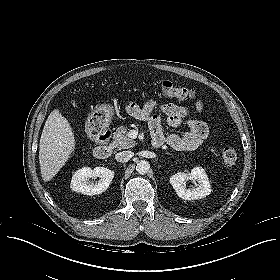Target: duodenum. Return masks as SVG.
Instances as JSON below:
<instances>
[{"instance_id": "1", "label": "duodenum", "mask_w": 280, "mask_h": 280, "mask_svg": "<svg viewBox=\"0 0 280 280\" xmlns=\"http://www.w3.org/2000/svg\"><path fill=\"white\" fill-rule=\"evenodd\" d=\"M96 147L94 149V156L96 159L104 160L109 158L113 153V147L110 145V140L112 138V131L111 129H104L99 131L96 135ZM152 147L153 148H160L164 142L160 138H153L152 139Z\"/></svg>"}]
</instances>
